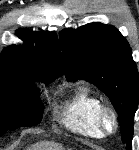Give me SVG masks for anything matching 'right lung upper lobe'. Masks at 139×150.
Here are the masks:
<instances>
[{"mask_svg":"<svg viewBox=\"0 0 139 150\" xmlns=\"http://www.w3.org/2000/svg\"><path fill=\"white\" fill-rule=\"evenodd\" d=\"M17 35L25 44L2 51L0 72L24 74L48 83L64 73L56 33L19 29Z\"/></svg>","mask_w":139,"mask_h":150,"instance_id":"1","label":"right lung upper lobe"}]
</instances>
